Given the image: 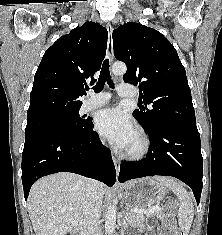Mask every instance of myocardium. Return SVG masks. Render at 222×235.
I'll return each mask as SVG.
<instances>
[{"label": "myocardium", "instance_id": "myocardium-1", "mask_svg": "<svg viewBox=\"0 0 222 235\" xmlns=\"http://www.w3.org/2000/svg\"><path fill=\"white\" fill-rule=\"evenodd\" d=\"M135 134L139 139V144L134 148L126 149L124 155L131 160H140L149 153L151 149V140L142 128H137Z\"/></svg>", "mask_w": 222, "mask_h": 235}]
</instances>
